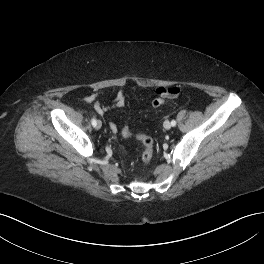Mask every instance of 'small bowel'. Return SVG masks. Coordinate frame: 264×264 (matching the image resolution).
Segmentation results:
<instances>
[{"label": "small bowel", "mask_w": 264, "mask_h": 264, "mask_svg": "<svg viewBox=\"0 0 264 264\" xmlns=\"http://www.w3.org/2000/svg\"><path fill=\"white\" fill-rule=\"evenodd\" d=\"M181 92V89L178 86H170V87H160L156 90V94L158 97L163 99H174ZM99 93H93L84 98V101L89 104L94 105V109L96 113L100 116H104L106 111L113 107H122L126 103V91L119 90L114 93L112 104L105 105L98 99ZM109 127L113 132L117 131V126L114 123H109Z\"/></svg>", "instance_id": "1"}]
</instances>
